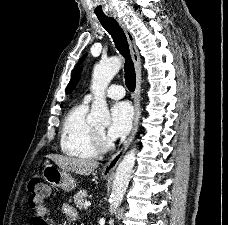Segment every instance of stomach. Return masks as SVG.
<instances>
[{
	"label": "stomach",
	"instance_id": "1",
	"mask_svg": "<svg viewBox=\"0 0 228 225\" xmlns=\"http://www.w3.org/2000/svg\"><path fill=\"white\" fill-rule=\"evenodd\" d=\"M42 177L50 183V185H54V187H59V189H63V191H73L75 187H77V183L75 179H73L70 171H66V169H58L55 165H50V163H46L43 171ZM103 181H107L108 177H104L102 175Z\"/></svg>",
	"mask_w": 228,
	"mask_h": 225
}]
</instances>
